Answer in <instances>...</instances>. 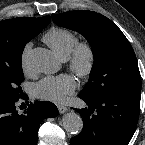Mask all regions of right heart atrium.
<instances>
[{"label": "right heart atrium", "mask_w": 145, "mask_h": 145, "mask_svg": "<svg viewBox=\"0 0 145 145\" xmlns=\"http://www.w3.org/2000/svg\"><path fill=\"white\" fill-rule=\"evenodd\" d=\"M32 44L30 42L26 43L21 52V68L25 74H31L28 67V57L31 50Z\"/></svg>", "instance_id": "obj_1"}]
</instances>
